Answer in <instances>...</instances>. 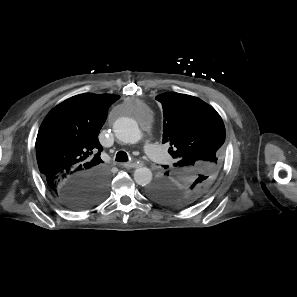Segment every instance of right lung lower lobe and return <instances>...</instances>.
Wrapping results in <instances>:
<instances>
[{"mask_svg":"<svg viewBox=\"0 0 297 297\" xmlns=\"http://www.w3.org/2000/svg\"><path fill=\"white\" fill-rule=\"evenodd\" d=\"M107 188V173L96 171L78 176L54 195L70 208L84 209L102 201Z\"/></svg>","mask_w":297,"mask_h":297,"instance_id":"98d812e1","label":"right lung lower lobe"}]
</instances>
